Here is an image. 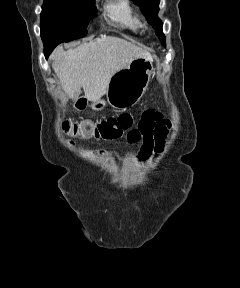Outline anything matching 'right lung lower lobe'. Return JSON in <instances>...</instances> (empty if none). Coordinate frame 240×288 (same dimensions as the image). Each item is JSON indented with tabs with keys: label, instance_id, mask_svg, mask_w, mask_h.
Listing matches in <instances>:
<instances>
[{
	"label": "right lung lower lobe",
	"instance_id": "right-lung-lower-lobe-1",
	"mask_svg": "<svg viewBox=\"0 0 240 288\" xmlns=\"http://www.w3.org/2000/svg\"><path fill=\"white\" fill-rule=\"evenodd\" d=\"M54 48H44L45 57L48 58L50 53L53 51Z\"/></svg>",
	"mask_w": 240,
	"mask_h": 288
}]
</instances>
